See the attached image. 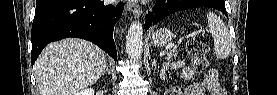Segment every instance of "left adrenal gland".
<instances>
[{
    "label": "left adrenal gland",
    "instance_id": "left-adrenal-gland-1",
    "mask_svg": "<svg viewBox=\"0 0 277 95\" xmlns=\"http://www.w3.org/2000/svg\"><path fill=\"white\" fill-rule=\"evenodd\" d=\"M152 66H156V59L153 60Z\"/></svg>",
    "mask_w": 277,
    "mask_h": 95
}]
</instances>
